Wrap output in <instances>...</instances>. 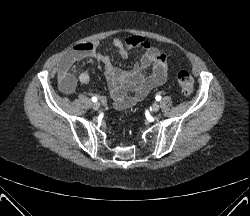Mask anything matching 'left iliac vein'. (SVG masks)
I'll use <instances>...</instances> for the list:
<instances>
[{
  "label": "left iliac vein",
  "instance_id": "1",
  "mask_svg": "<svg viewBox=\"0 0 250 216\" xmlns=\"http://www.w3.org/2000/svg\"><path fill=\"white\" fill-rule=\"evenodd\" d=\"M160 106L158 103H154L151 107L152 112H157L159 110Z\"/></svg>",
  "mask_w": 250,
  "mask_h": 216
}]
</instances>
